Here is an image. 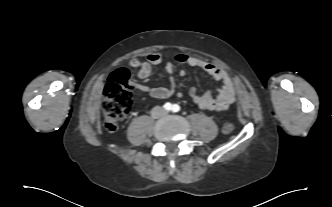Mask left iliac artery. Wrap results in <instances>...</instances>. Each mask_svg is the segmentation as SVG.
I'll list each match as a JSON object with an SVG mask.
<instances>
[{
  "instance_id": "obj_1",
  "label": "left iliac artery",
  "mask_w": 332,
  "mask_h": 207,
  "mask_svg": "<svg viewBox=\"0 0 332 207\" xmlns=\"http://www.w3.org/2000/svg\"><path fill=\"white\" fill-rule=\"evenodd\" d=\"M171 110L173 112H178L180 111V106L178 104H173Z\"/></svg>"
}]
</instances>
